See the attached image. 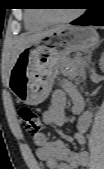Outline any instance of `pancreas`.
Wrapping results in <instances>:
<instances>
[{
    "instance_id": "cf45deb5",
    "label": "pancreas",
    "mask_w": 104,
    "mask_h": 169,
    "mask_svg": "<svg viewBox=\"0 0 104 169\" xmlns=\"http://www.w3.org/2000/svg\"><path fill=\"white\" fill-rule=\"evenodd\" d=\"M62 65L65 67H69L70 70L63 71V74L69 77L70 79H74L77 76L85 75L86 63L85 60L82 59L79 55H77L73 59L66 58Z\"/></svg>"
}]
</instances>
